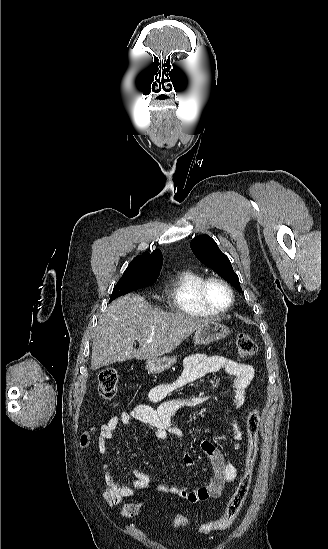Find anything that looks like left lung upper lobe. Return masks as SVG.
I'll use <instances>...</instances> for the list:
<instances>
[{"mask_svg": "<svg viewBox=\"0 0 328 549\" xmlns=\"http://www.w3.org/2000/svg\"><path fill=\"white\" fill-rule=\"evenodd\" d=\"M191 249L195 256L207 267L211 268L239 292H242L239 278L234 272L228 257L221 252L217 243L208 235H202L191 241Z\"/></svg>", "mask_w": 328, "mask_h": 549, "instance_id": "1", "label": "left lung upper lobe"}]
</instances>
